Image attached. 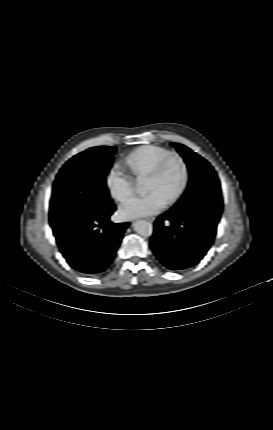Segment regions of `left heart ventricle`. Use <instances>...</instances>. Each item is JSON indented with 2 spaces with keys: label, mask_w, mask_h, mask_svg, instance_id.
Listing matches in <instances>:
<instances>
[{
  "label": "left heart ventricle",
  "mask_w": 273,
  "mask_h": 430,
  "mask_svg": "<svg viewBox=\"0 0 273 430\" xmlns=\"http://www.w3.org/2000/svg\"><path fill=\"white\" fill-rule=\"evenodd\" d=\"M182 179V170L178 163L172 162L160 178L147 179L146 190L158 191L166 200L177 189Z\"/></svg>",
  "instance_id": "left-heart-ventricle-1"
}]
</instances>
